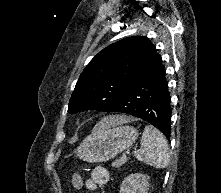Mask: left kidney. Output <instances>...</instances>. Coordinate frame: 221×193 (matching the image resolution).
Wrapping results in <instances>:
<instances>
[{"mask_svg": "<svg viewBox=\"0 0 221 193\" xmlns=\"http://www.w3.org/2000/svg\"><path fill=\"white\" fill-rule=\"evenodd\" d=\"M148 176L144 174H131L124 178L119 193H148Z\"/></svg>", "mask_w": 221, "mask_h": 193, "instance_id": "obj_1", "label": "left kidney"}]
</instances>
